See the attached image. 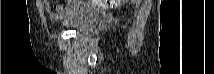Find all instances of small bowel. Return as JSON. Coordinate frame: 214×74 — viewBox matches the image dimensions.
Wrapping results in <instances>:
<instances>
[{
	"instance_id": "small-bowel-1",
	"label": "small bowel",
	"mask_w": 214,
	"mask_h": 74,
	"mask_svg": "<svg viewBox=\"0 0 214 74\" xmlns=\"http://www.w3.org/2000/svg\"><path fill=\"white\" fill-rule=\"evenodd\" d=\"M44 4L45 10L49 13L51 18H59L64 17L66 13L71 9L70 6H58L55 10H52L51 6L48 4L47 1H42Z\"/></svg>"
}]
</instances>
